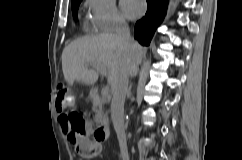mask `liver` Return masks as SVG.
<instances>
[{"mask_svg":"<svg viewBox=\"0 0 242 160\" xmlns=\"http://www.w3.org/2000/svg\"><path fill=\"white\" fill-rule=\"evenodd\" d=\"M146 49L135 43V50L130 52L123 41L115 34H101L83 37L71 42L62 52V70L66 82L74 81L92 85L97 82L99 74L87 65L104 66L109 73L111 88L117 81L121 68H125L128 58H133L137 65L145 55ZM134 74V73H133Z\"/></svg>","mask_w":242,"mask_h":160,"instance_id":"1","label":"liver"}]
</instances>
